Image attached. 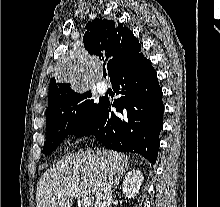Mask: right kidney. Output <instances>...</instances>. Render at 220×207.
<instances>
[{
  "instance_id": "obj_1",
  "label": "right kidney",
  "mask_w": 220,
  "mask_h": 207,
  "mask_svg": "<svg viewBox=\"0 0 220 207\" xmlns=\"http://www.w3.org/2000/svg\"><path fill=\"white\" fill-rule=\"evenodd\" d=\"M143 182V175L139 170H132L127 173L122 184V191L128 198H133L140 190Z\"/></svg>"
}]
</instances>
